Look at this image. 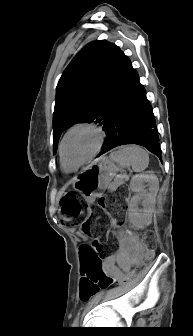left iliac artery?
Segmentation results:
<instances>
[{
  "instance_id": "obj_1",
  "label": "left iliac artery",
  "mask_w": 193,
  "mask_h": 336,
  "mask_svg": "<svg viewBox=\"0 0 193 336\" xmlns=\"http://www.w3.org/2000/svg\"><path fill=\"white\" fill-rule=\"evenodd\" d=\"M78 323H79V314L75 317V319L73 321V324H72L73 327H77Z\"/></svg>"
}]
</instances>
